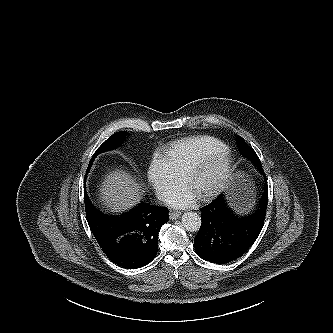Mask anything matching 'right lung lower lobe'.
<instances>
[{
  "mask_svg": "<svg viewBox=\"0 0 333 333\" xmlns=\"http://www.w3.org/2000/svg\"><path fill=\"white\" fill-rule=\"evenodd\" d=\"M84 202L88 225L112 262L135 269L155 258L158 233L169 219L167 208L139 203L122 214H104L93 206L85 190Z\"/></svg>",
  "mask_w": 333,
  "mask_h": 333,
  "instance_id": "right-lung-lower-lobe-1",
  "label": "right lung lower lobe"
}]
</instances>
